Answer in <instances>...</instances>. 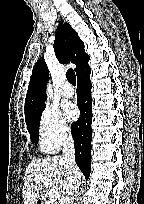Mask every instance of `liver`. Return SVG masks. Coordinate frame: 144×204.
I'll list each match as a JSON object with an SVG mask.
<instances>
[{
  "label": "liver",
  "mask_w": 144,
  "mask_h": 204,
  "mask_svg": "<svg viewBox=\"0 0 144 204\" xmlns=\"http://www.w3.org/2000/svg\"><path fill=\"white\" fill-rule=\"evenodd\" d=\"M36 176H44L52 181V189L58 191L62 198L69 189V175L63 158L54 156L47 159H37L29 163L25 170L23 200L24 204H36L43 191V182L34 184Z\"/></svg>",
  "instance_id": "6515ba94"
}]
</instances>
